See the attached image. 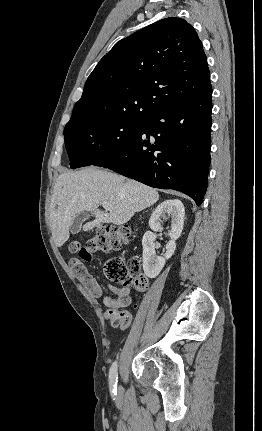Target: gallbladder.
<instances>
[{
	"label": "gallbladder",
	"instance_id": "bac80fb5",
	"mask_svg": "<svg viewBox=\"0 0 262 431\" xmlns=\"http://www.w3.org/2000/svg\"><path fill=\"white\" fill-rule=\"evenodd\" d=\"M89 217L86 212L78 213L72 221L70 232L76 235L80 232L83 222Z\"/></svg>",
	"mask_w": 262,
	"mask_h": 431
}]
</instances>
